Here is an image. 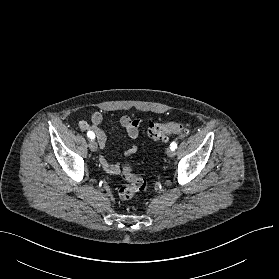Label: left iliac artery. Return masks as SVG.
I'll list each match as a JSON object with an SVG mask.
<instances>
[{"instance_id":"44dca946","label":"left iliac artery","mask_w":279,"mask_h":279,"mask_svg":"<svg viewBox=\"0 0 279 279\" xmlns=\"http://www.w3.org/2000/svg\"><path fill=\"white\" fill-rule=\"evenodd\" d=\"M177 148V144L175 142L171 143L170 149L175 150Z\"/></svg>"}]
</instances>
